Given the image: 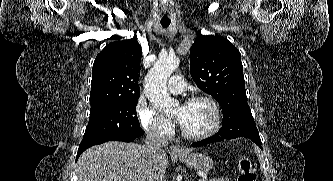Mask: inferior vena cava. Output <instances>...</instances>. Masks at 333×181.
<instances>
[{
	"label": "inferior vena cava",
	"instance_id": "obj_1",
	"mask_svg": "<svg viewBox=\"0 0 333 181\" xmlns=\"http://www.w3.org/2000/svg\"><path fill=\"white\" fill-rule=\"evenodd\" d=\"M168 145L165 134L159 129H149L145 138V147L149 154V172L146 181H166L159 159L164 153L163 147Z\"/></svg>",
	"mask_w": 333,
	"mask_h": 181
}]
</instances>
